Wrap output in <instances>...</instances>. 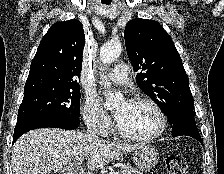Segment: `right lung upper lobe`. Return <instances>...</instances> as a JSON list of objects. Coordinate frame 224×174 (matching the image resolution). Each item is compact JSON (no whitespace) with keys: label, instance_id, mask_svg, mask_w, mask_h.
<instances>
[{"label":"right lung upper lobe","instance_id":"cb5924a9","mask_svg":"<svg viewBox=\"0 0 224 174\" xmlns=\"http://www.w3.org/2000/svg\"><path fill=\"white\" fill-rule=\"evenodd\" d=\"M85 35L80 21L57 22L42 39L32 60L24 94L47 89H76Z\"/></svg>","mask_w":224,"mask_h":174}]
</instances>
